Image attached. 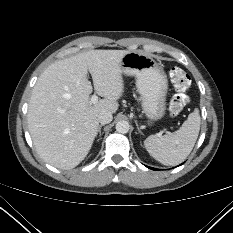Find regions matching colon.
Masks as SVG:
<instances>
[{
	"label": "colon",
	"mask_w": 233,
	"mask_h": 233,
	"mask_svg": "<svg viewBox=\"0 0 233 233\" xmlns=\"http://www.w3.org/2000/svg\"><path fill=\"white\" fill-rule=\"evenodd\" d=\"M170 81L176 93L170 100L169 110L171 114L181 113L188 103L187 90L191 86V78L186 71L180 67H172L169 71Z\"/></svg>",
	"instance_id": "obj_1"
}]
</instances>
